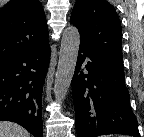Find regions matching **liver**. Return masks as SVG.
Masks as SVG:
<instances>
[{"mask_svg": "<svg viewBox=\"0 0 144 137\" xmlns=\"http://www.w3.org/2000/svg\"><path fill=\"white\" fill-rule=\"evenodd\" d=\"M0 137H30V134L16 123L0 121Z\"/></svg>", "mask_w": 144, "mask_h": 137, "instance_id": "obj_1", "label": "liver"}]
</instances>
